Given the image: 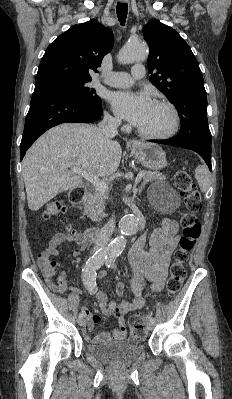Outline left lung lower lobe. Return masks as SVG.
Segmentation results:
<instances>
[{
    "mask_svg": "<svg viewBox=\"0 0 232 399\" xmlns=\"http://www.w3.org/2000/svg\"><path fill=\"white\" fill-rule=\"evenodd\" d=\"M150 141L154 143L173 145L193 150L197 152L205 160L206 164L211 170V149L209 148H206L198 143L179 140L176 139L175 137L167 140H150Z\"/></svg>",
    "mask_w": 232,
    "mask_h": 399,
    "instance_id": "obj_1",
    "label": "left lung lower lobe"
}]
</instances>
